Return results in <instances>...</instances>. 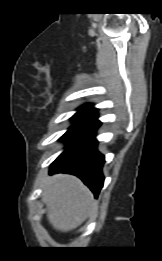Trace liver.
Wrapping results in <instances>:
<instances>
[{
  "mask_svg": "<svg viewBox=\"0 0 162 261\" xmlns=\"http://www.w3.org/2000/svg\"><path fill=\"white\" fill-rule=\"evenodd\" d=\"M43 200L50 224L61 232L80 226L94 210V197L75 176L58 174L45 184Z\"/></svg>",
  "mask_w": 162,
  "mask_h": 261,
  "instance_id": "1",
  "label": "liver"
}]
</instances>
